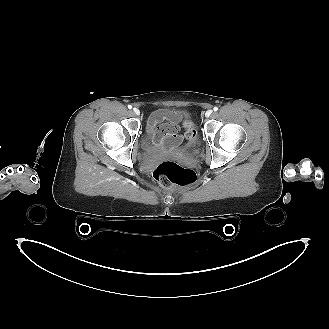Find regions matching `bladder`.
Masks as SVG:
<instances>
[{
    "mask_svg": "<svg viewBox=\"0 0 329 329\" xmlns=\"http://www.w3.org/2000/svg\"><path fill=\"white\" fill-rule=\"evenodd\" d=\"M158 113L163 116L165 120L176 121V120H188L191 121L190 114L185 110H177L173 108H162L157 110ZM198 139L197 137L192 138L191 143L180 148V154L186 157H193L197 151ZM142 147L148 153H156L160 151V146H158L153 139V134L151 131L147 130L142 138Z\"/></svg>",
    "mask_w": 329,
    "mask_h": 329,
    "instance_id": "1",
    "label": "bladder"
}]
</instances>
